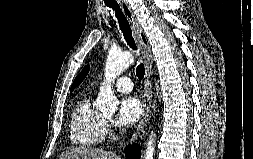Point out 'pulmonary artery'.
I'll use <instances>...</instances> for the list:
<instances>
[{
  "label": "pulmonary artery",
  "mask_w": 253,
  "mask_h": 159,
  "mask_svg": "<svg viewBox=\"0 0 253 159\" xmlns=\"http://www.w3.org/2000/svg\"><path fill=\"white\" fill-rule=\"evenodd\" d=\"M115 87L120 92H129L133 88V82L128 77H120L117 79Z\"/></svg>",
  "instance_id": "1"
}]
</instances>
